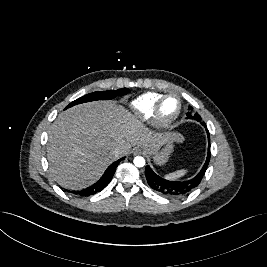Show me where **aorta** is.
Returning <instances> with one entry per match:
<instances>
[{
    "label": "aorta",
    "instance_id": "762f6f07",
    "mask_svg": "<svg viewBox=\"0 0 267 267\" xmlns=\"http://www.w3.org/2000/svg\"><path fill=\"white\" fill-rule=\"evenodd\" d=\"M133 163L136 167H144L145 166V159L141 156H136L133 160Z\"/></svg>",
    "mask_w": 267,
    "mask_h": 267
}]
</instances>
